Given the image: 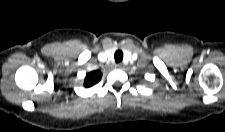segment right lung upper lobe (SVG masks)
<instances>
[{
  "label": "right lung upper lobe",
  "instance_id": "right-lung-upper-lobe-1",
  "mask_svg": "<svg viewBox=\"0 0 225 132\" xmlns=\"http://www.w3.org/2000/svg\"><path fill=\"white\" fill-rule=\"evenodd\" d=\"M102 73L100 71H92L88 73L85 77L84 86L85 87H91L98 83L101 79Z\"/></svg>",
  "mask_w": 225,
  "mask_h": 132
}]
</instances>
